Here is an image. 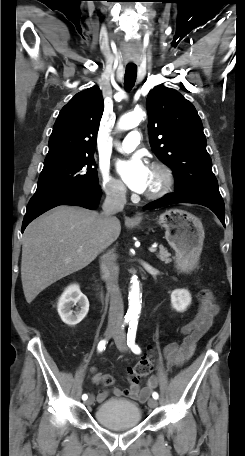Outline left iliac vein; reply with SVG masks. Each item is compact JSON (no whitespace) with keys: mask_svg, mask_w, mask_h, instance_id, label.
<instances>
[{"mask_svg":"<svg viewBox=\"0 0 245 456\" xmlns=\"http://www.w3.org/2000/svg\"><path fill=\"white\" fill-rule=\"evenodd\" d=\"M113 338H114L117 348L120 351L126 352L128 350L124 331H122V330L117 331V333L113 336ZM148 405L150 408H156L158 406V402L156 399L150 398L148 401Z\"/></svg>","mask_w":245,"mask_h":456,"instance_id":"left-iliac-vein-1","label":"left iliac vein"}]
</instances>
